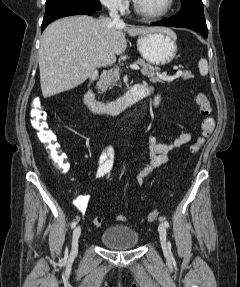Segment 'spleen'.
Segmentation results:
<instances>
[{
    "label": "spleen",
    "instance_id": "3e777b00",
    "mask_svg": "<svg viewBox=\"0 0 240 287\" xmlns=\"http://www.w3.org/2000/svg\"><path fill=\"white\" fill-rule=\"evenodd\" d=\"M198 67H199L200 74H201L202 76H205V75L208 74L209 68H208V62H207L206 59L201 58V59L199 60Z\"/></svg>",
    "mask_w": 240,
    "mask_h": 287
}]
</instances>
